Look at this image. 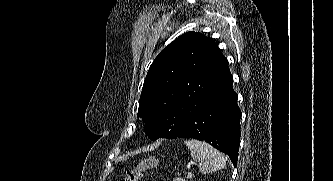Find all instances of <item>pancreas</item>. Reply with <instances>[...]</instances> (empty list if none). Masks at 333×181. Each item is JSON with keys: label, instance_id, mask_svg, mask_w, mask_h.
<instances>
[{"label": "pancreas", "instance_id": "1", "mask_svg": "<svg viewBox=\"0 0 333 181\" xmlns=\"http://www.w3.org/2000/svg\"><path fill=\"white\" fill-rule=\"evenodd\" d=\"M173 181H185V179L180 178V177H177V178H175Z\"/></svg>", "mask_w": 333, "mask_h": 181}]
</instances>
